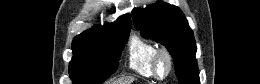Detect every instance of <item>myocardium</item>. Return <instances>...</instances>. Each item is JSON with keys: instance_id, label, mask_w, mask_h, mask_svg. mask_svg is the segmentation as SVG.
<instances>
[{"instance_id": "f54148a6", "label": "myocardium", "mask_w": 260, "mask_h": 84, "mask_svg": "<svg viewBox=\"0 0 260 84\" xmlns=\"http://www.w3.org/2000/svg\"><path fill=\"white\" fill-rule=\"evenodd\" d=\"M162 64L165 65V70L163 73H160ZM152 68L155 78L163 80L169 77L173 70V58L166 48L157 49L153 57Z\"/></svg>"}]
</instances>
